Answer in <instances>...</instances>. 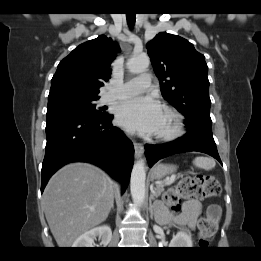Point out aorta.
Listing matches in <instances>:
<instances>
[{
    "mask_svg": "<svg viewBox=\"0 0 261 261\" xmlns=\"http://www.w3.org/2000/svg\"><path fill=\"white\" fill-rule=\"evenodd\" d=\"M147 56H134L127 62V68L131 73H141L149 66ZM146 172L143 160H138L133 165L130 180V190L134 203L142 204L145 198Z\"/></svg>",
    "mask_w": 261,
    "mask_h": 261,
    "instance_id": "obj_1",
    "label": "aorta"
}]
</instances>
